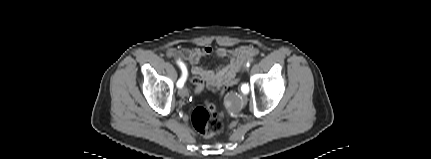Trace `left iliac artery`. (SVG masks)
<instances>
[{"mask_svg": "<svg viewBox=\"0 0 431 159\" xmlns=\"http://www.w3.org/2000/svg\"><path fill=\"white\" fill-rule=\"evenodd\" d=\"M249 64H247V66H248ZM241 90H242V92L243 93H248V91H249V87H248V85L247 84H243L242 86H241Z\"/></svg>", "mask_w": 431, "mask_h": 159, "instance_id": "44dca946", "label": "left iliac artery"}]
</instances>
